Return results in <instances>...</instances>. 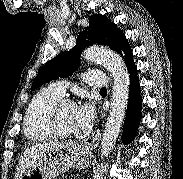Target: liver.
Listing matches in <instances>:
<instances>
[{
  "instance_id": "6515ba94",
  "label": "liver",
  "mask_w": 183,
  "mask_h": 179,
  "mask_svg": "<svg viewBox=\"0 0 183 179\" xmlns=\"http://www.w3.org/2000/svg\"><path fill=\"white\" fill-rule=\"evenodd\" d=\"M62 144L63 143L59 142H49L44 144H37L35 146L26 148L20 156V159L16 166L15 179H21L22 175L32 164L44 158L50 150L59 147Z\"/></svg>"
}]
</instances>
